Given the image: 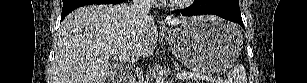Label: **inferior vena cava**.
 <instances>
[{"mask_svg": "<svg viewBox=\"0 0 307 83\" xmlns=\"http://www.w3.org/2000/svg\"><path fill=\"white\" fill-rule=\"evenodd\" d=\"M150 8H151V0H133V3L131 5L132 12L136 14L138 18L144 20H147L149 18L148 14Z\"/></svg>", "mask_w": 307, "mask_h": 83, "instance_id": "602c4592", "label": "inferior vena cava"}]
</instances>
